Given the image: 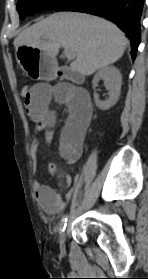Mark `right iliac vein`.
I'll return each mask as SVG.
<instances>
[{
    "label": "right iliac vein",
    "mask_w": 148,
    "mask_h": 279,
    "mask_svg": "<svg viewBox=\"0 0 148 279\" xmlns=\"http://www.w3.org/2000/svg\"><path fill=\"white\" fill-rule=\"evenodd\" d=\"M67 233H68V229L64 230V232L62 233L61 240H60V245L62 248L65 246V240L67 237Z\"/></svg>",
    "instance_id": "1"
}]
</instances>
